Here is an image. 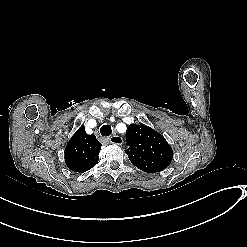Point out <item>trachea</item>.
<instances>
[{
  "label": "trachea",
  "mask_w": 247,
  "mask_h": 247,
  "mask_svg": "<svg viewBox=\"0 0 247 247\" xmlns=\"http://www.w3.org/2000/svg\"><path fill=\"white\" fill-rule=\"evenodd\" d=\"M111 132H112V129H111V126L110 125H103L100 128V134L102 136H109V135H111Z\"/></svg>",
  "instance_id": "obj_1"
}]
</instances>
